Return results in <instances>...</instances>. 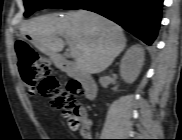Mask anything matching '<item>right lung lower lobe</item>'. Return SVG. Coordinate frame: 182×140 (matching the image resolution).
Wrapping results in <instances>:
<instances>
[{
	"mask_svg": "<svg viewBox=\"0 0 182 140\" xmlns=\"http://www.w3.org/2000/svg\"><path fill=\"white\" fill-rule=\"evenodd\" d=\"M162 4L163 0H92L80 9L105 16L151 45L160 27Z\"/></svg>",
	"mask_w": 182,
	"mask_h": 140,
	"instance_id": "1",
	"label": "right lung lower lobe"
}]
</instances>
